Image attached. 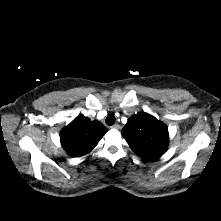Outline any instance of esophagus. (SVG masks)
Wrapping results in <instances>:
<instances>
[{"instance_id": "34e87169", "label": "esophagus", "mask_w": 221, "mask_h": 221, "mask_svg": "<svg viewBox=\"0 0 221 221\" xmlns=\"http://www.w3.org/2000/svg\"><path fill=\"white\" fill-rule=\"evenodd\" d=\"M111 128L119 130L121 128V126L119 124H114V125L111 126Z\"/></svg>"}]
</instances>
